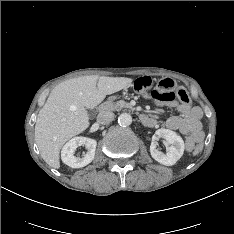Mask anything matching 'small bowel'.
<instances>
[{
  "label": "small bowel",
  "instance_id": "c3829d8e",
  "mask_svg": "<svg viewBox=\"0 0 234 234\" xmlns=\"http://www.w3.org/2000/svg\"><path fill=\"white\" fill-rule=\"evenodd\" d=\"M146 98H153L155 103L161 107L175 108L179 115L169 117L166 122V128L170 130H179L182 134L188 136L187 145L190 147L194 142L203 138L201 117L202 111L200 108L190 104H180L175 99L162 100L152 97L147 92H143ZM147 121L144 122L149 127L156 126V121L148 116Z\"/></svg>",
  "mask_w": 234,
  "mask_h": 234
}]
</instances>
